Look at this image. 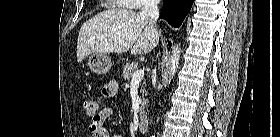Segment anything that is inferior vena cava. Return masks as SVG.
Wrapping results in <instances>:
<instances>
[{"mask_svg":"<svg viewBox=\"0 0 280 137\" xmlns=\"http://www.w3.org/2000/svg\"><path fill=\"white\" fill-rule=\"evenodd\" d=\"M158 4H159V0H145L142 10L140 12L141 16L147 18L149 20V23L155 29H156L157 20L159 18Z\"/></svg>","mask_w":280,"mask_h":137,"instance_id":"602c4592","label":"inferior vena cava"}]
</instances>
